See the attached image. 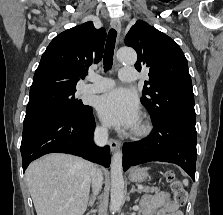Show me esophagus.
I'll return each instance as SVG.
<instances>
[{
  "instance_id": "esophagus-1",
  "label": "esophagus",
  "mask_w": 223,
  "mask_h": 215,
  "mask_svg": "<svg viewBox=\"0 0 223 215\" xmlns=\"http://www.w3.org/2000/svg\"><path fill=\"white\" fill-rule=\"evenodd\" d=\"M111 27L112 29L116 30V32H118V35H120L121 22L118 19L116 18L111 19ZM109 144H110V149L112 152L120 148V142L118 140L110 139Z\"/></svg>"
}]
</instances>
